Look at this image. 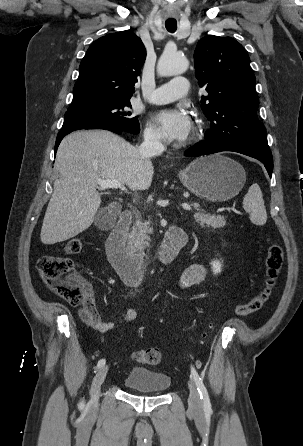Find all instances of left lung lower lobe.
<instances>
[{
  "label": "left lung lower lobe",
  "instance_id": "left-lung-lower-lobe-1",
  "mask_svg": "<svg viewBox=\"0 0 303 446\" xmlns=\"http://www.w3.org/2000/svg\"><path fill=\"white\" fill-rule=\"evenodd\" d=\"M221 151H234L260 160L264 164L266 170L269 173V176L271 177L273 170V159L272 153L269 148L233 142L210 143L204 141L192 148H189L184 155L187 157H197Z\"/></svg>",
  "mask_w": 303,
  "mask_h": 446
}]
</instances>
